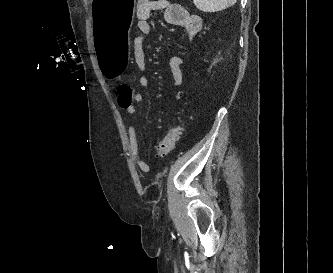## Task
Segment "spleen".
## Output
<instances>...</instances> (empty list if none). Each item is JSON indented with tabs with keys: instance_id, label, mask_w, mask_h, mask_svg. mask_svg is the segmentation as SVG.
<instances>
[{
	"instance_id": "3e777b00",
	"label": "spleen",
	"mask_w": 333,
	"mask_h": 273,
	"mask_svg": "<svg viewBox=\"0 0 333 273\" xmlns=\"http://www.w3.org/2000/svg\"><path fill=\"white\" fill-rule=\"evenodd\" d=\"M237 0H193L195 6L203 12H216L233 6Z\"/></svg>"
}]
</instances>
